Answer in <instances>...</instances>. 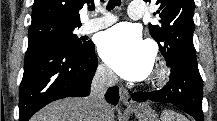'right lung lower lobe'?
<instances>
[{
  "label": "right lung lower lobe",
  "mask_w": 217,
  "mask_h": 121,
  "mask_svg": "<svg viewBox=\"0 0 217 121\" xmlns=\"http://www.w3.org/2000/svg\"><path fill=\"white\" fill-rule=\"evenodd\" d=\"M94 49L91 41L79 49L62 45L27 49L19 90V121H28L54 100L87 96L98 65ZM106 99L117 104L118 87L109 88Z\"/></svg>",
  "instance_id": "right-lung-lower-lobe-1"
}]
</instances>
